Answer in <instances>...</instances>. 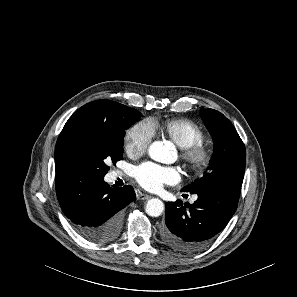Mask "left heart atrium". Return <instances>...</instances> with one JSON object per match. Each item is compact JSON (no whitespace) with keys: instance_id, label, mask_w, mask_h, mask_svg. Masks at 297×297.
<instances>
[{"instance_id":"39dd6f15","label":"left heart atrium","mask_w":297,"mask_h":297,"mask_svg":"<svg viewBox=\"0 0 297 297\" xmlns=\"http://www.w3.org/2000/svg\"><path fill=\"white\" fill-rule=\"evenodd\" d=\"M133 174L137 182L150 191H157L165 184H175L181 177L174 167H162L150 162L137 166Z\"/></svg>"}]
</instances>
